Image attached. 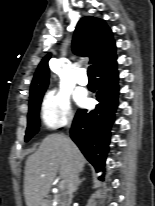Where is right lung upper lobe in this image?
Returning a JSON list of instances; mask_svg holds the SVG:
<instances>
[{
  "label": "right lung upper lobe",
  "mask_w": 155,
  "mask_h": 206,
  "mask_svg": "<svg viewBox=\"0 0 155 206\" xmlns=\"http://www.w3.org/2000/svg\"><path fill=\"white\" fill-rule=\"evenodd\" d=\"M72 48L75 54L90 57V63L94 64L96 74L116 59L112 31L103 20L98 18L87 16L78 22ZM50 57L51 54L46 55L39 64L32 81L30 97L46 90L49 82Z\"/></svg>",
  "instance_id": "cb5924a9"
}]
</instances>
